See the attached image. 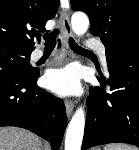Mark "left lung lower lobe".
Wrapping results in <instances>:
<instances>
[{
	"label": "left lung lower lobe",
	"mask_w": 139,
	"mask_h": 150,
	"mask_svg": "<svg viewBox=\"0 0 139 150\" xmlns=\"http://www.w3.org/2000/svg\"><path fill=\"white\" fill-rule=\"evenodd\" d=\"M107 65L110 78L100 75L102 86L90 89L82 150L116 142L139 147V40L119 49Z\"/></svg>",
	"instance_id": "1"
}]
</instances>
